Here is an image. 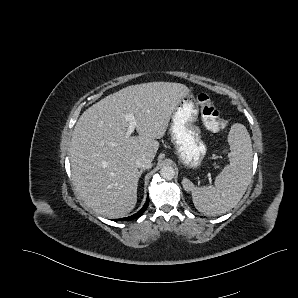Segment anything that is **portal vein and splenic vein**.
Wrapping results in <instances>:
<instances>
[{"label": "portal vein and splenic vein", "instance_id": "obj_1", "mask_svg": "<svg viewBox=\"0 0 298 298\" xmlns=\"http://www.w3.org/2000/svg\"><path fill=\"white\" fill-rule=\"evenodd\" d=\"M124 118L129 123L125 136L130 137L136 128V119L133 113L124 114Z\"/></svg>", "mask_w": 298, "mask_h": 298}]
</instances>
